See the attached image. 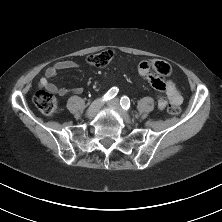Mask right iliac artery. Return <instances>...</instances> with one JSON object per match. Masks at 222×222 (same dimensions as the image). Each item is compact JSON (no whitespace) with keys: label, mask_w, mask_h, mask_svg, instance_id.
I'll return each mask as SVG.
<instances>
[{"label":"right iliac artery","mask_w":222,"mask_h":222,"mask_svg":"<svg viewBox=\"0 0 222 222\" xmlns=\"http://www.w3.org/2000/svg\"><path fill=\"white\" fill-rule=\"evenodd\" d=\"M118 93V88L117 87H112L104 96H103V101L110 100L114 98Z\"/></svg>","instance_id":"obj_1"}]
</instances>
